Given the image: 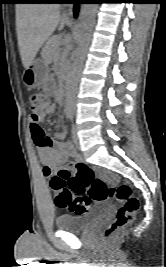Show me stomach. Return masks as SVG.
I'll list each match as a JSON object with an SVG mask.
<instances>
[{"mask_svg": "<svg viewBox=\"0 0 166 267\" xmlns=\"http://www.w3.org/2000/svg\"><path fill=\"white\" fill-rule=\"evenodd\" d=\"M48 73V64L44 60L35 59L23 72L24 83L28 87H39L47 81Z\"/></svg>", "mask_w": 166, "mask_h": 267, "instance_id": "0dacf381", "label": "stomach"}]
</instances>
